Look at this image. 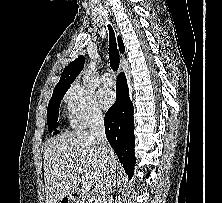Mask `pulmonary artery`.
<instances>
[{
    "label": "pulmonary artery",
    "mask_w": 222,
    "mask_h": 203,
    "mask_svg": "<svg viewBox=\"0 0 222 203\" xmlns=\"http://www.w3.org/2000/svg\"><path fill=\"white\" fill-rule=\"evenodd\" d=\"M101 83L105 86H109L113 83L112 75L109 72H104L101 76Z\"/></svg>",
    "instance_id": "obj_1"
}]
</instances>
